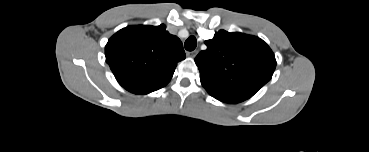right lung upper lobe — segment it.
Listing matches in <instances>:
<instances>
[{"label":"right lung upper lobe","mask_w":369,"mask_h":152,"mask_svg":"<svg viewBox=\"0 0 369 152\" xmlns=\"http://www.w3.org/2000/svg\"><path fill=\"white\" fill-rule=\"evenodd\" d=\"M106 62L126 90L148 94L165 86L186 55L180 39L166 26H128L105 46Z\"/></svg>","instance_id":"cb5924a9"}]
</instances>
